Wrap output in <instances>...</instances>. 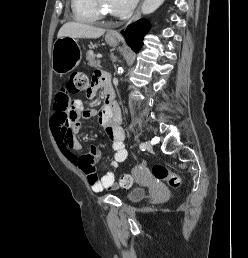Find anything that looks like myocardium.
I'll return each mask as SVG.
<instances>
[{
  "label": "myocardium",
  "mask_w": 248,
  "mask_h": 258,
  "mask_svg": "<svg viewBox=\"0 0 248 258\" xmlns=\"http://www.w3.org/2000/svg\"><path fill=\"white\" fill-rule=\"evenodd\" d=\"M95 7L97 11V15L100 18H108L109 14L106 11L105 5L103 4L102 0H95Z\"/></svg>",
  "instance_id": "f54148a6"
}]
</instances>
